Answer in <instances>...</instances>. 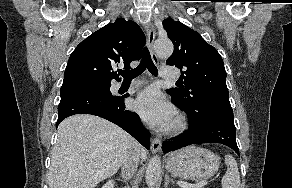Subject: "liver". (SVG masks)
<instances>
[{"instance_id":"obj_1","label":"liver","mask_w":292,"mask_h":188,"mask_svg":"<svg viewBox=\"0 0 292 188\" xmlns=\"http://www.w3.org/2000/svg\"><path fill=\"white\" fill-rule=\"evenodd\" d=\"M49 169V188H94L113 176L135 140L115 124L78 114L64 119L57 130ZM140 157H147L145 149Z\"/></svg>"}]
</instances>
